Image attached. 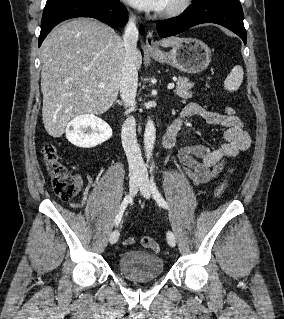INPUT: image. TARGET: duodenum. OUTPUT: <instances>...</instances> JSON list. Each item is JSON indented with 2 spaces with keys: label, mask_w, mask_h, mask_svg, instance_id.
<instances>
[{
  "label": "duodenum",
  "mask_w": 284,
  "mask_h": 319,
  "mask_svg": "<svg viewBox=\"0 0 284 319\" xmlns=\"http://www.w3.org/2000/svg\"><path fill=\"white\" fill-rule=\"evenodd\" d=\"M177 135H178V129L174 124L168 127L162 136L163 147L171 148L173 144L175 143Z\"/></svg>",
  "instance_id": "obj_1"
}]
</instances>
